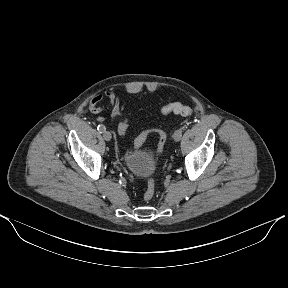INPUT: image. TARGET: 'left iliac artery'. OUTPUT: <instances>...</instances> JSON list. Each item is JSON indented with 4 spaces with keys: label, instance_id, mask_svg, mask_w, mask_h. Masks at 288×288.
I'll list each match as a JSON object with an SVG mask.
<instances>
[{
    "label": "left iliac artery",
    "instance_id": "obj_1",
    "mask_svg": "<svg viewBox=\"0 0 288 288\" xmlns=\"http://www.w3.org/2000/svg\"><path fill=\"white\" fill-rule=\"evenodd\" d=\"M179 132H184V127L182 125L179 127Z\"/></svg>",
    "mask_w": 288,
    "mask_h": 288
}]
</instances>
